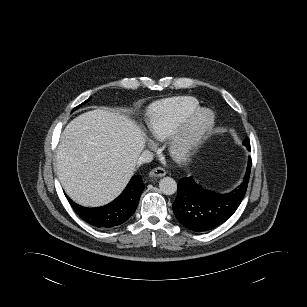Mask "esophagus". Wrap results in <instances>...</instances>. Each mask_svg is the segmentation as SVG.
Masks as SVG:
<instances>
[{
	"mask_svg": "<svg viewBox=\"0 0 307 307\" xmlns=\"http://www.w3.org/2000/svg\"><path fill=\"white\" fill-rule=\"evenodd\" d=\"M165 175H166V171L162 167H156L152 169L149 173L150 177H157V178L164 177Z\"/></svg>",
	"mask_w": 307,
	"mask_h": 307,
	"instance_id": "34e87169",
	"label": "esophagus"
}]
</instances>
